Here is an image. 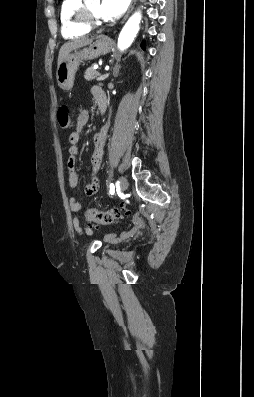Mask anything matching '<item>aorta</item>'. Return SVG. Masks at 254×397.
I'll use <instances>...</instances> for the list:
<instances>
[{"label": "aorta", "mask_w": 254, "mask_h": 397, "mask_svg": "<svg viewBox=\"0 0 254 397\" xmlns=\"http://www.w3.org/2000/svg\"><path fill=\"white\" fill-rule=\"evenodd\" d=\"M141 21V13L135 12L124 25L118 38V48L123 51L127 49L133 42L139 31Z\"/></svg>", "instance_id": "762f6f07"}]
</instances>
